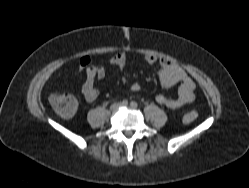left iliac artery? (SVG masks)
<instances>
[{
	"label": "left iliac artery",
	"instance_id": "44dca946",
	"mask_svg": "<svg viewBox=\"0 0 249 188\" xmlns=\"http://www.w3.org/2000/svg\"><path fill=\"white\" fill-rule=\"evenodd\" d=\"M130 106L133 107V108H137L138 107V104L135 102V101H132L130 103Z\"/></svg>",
	"mask_w": 249,
	"mask_h": 188
}]
</instances>
